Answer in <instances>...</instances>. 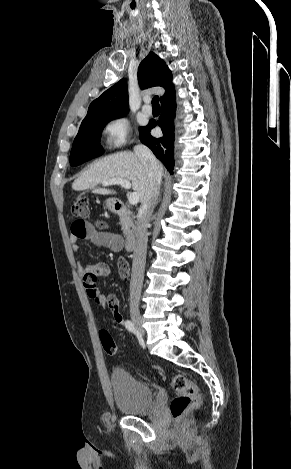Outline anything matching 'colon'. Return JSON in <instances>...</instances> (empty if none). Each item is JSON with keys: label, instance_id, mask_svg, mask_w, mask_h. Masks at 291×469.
Instances as JSON below:
<instances>
[{"label": "colon", "instance_id": "colon-1", "mask_svg": "<svg viewBox=\"0 0 291 469\" xmlns=\"http://www.w3.org/2000/svg\"><path fill=\"white\" fill-rule=\"evenodd\" d=\"M71 212L73 216L80 220L87 218L90 213L88 200L85 197H77L72 204ZM118 268L122 278L129 276V265L125 260H119ZM92 303L98 308L105 306V301L99 296H94ZM99 338L104 351L108 355H115L117 353V346L108 331L101 330L99 332ZM170 385L176 393L170 405L173 417L179 418L188 410L200 404L201 397L197 385L183 374L173 375L170 379Z\"/></svg>", "mask_w": 291, "mask_h": 469}]
</instances>
